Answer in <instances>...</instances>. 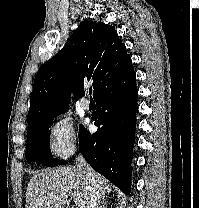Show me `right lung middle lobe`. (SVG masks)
Segmentation results:
<instances>
[{
	"mask_svg": "<svg viewBox=\"0 0 199 208\" xmlns=\"http://www.w3.org/2000/svg\"><path fill=\"white\" fill-rule=\"evenodd\" d=\"M53 122H48L27 131L26 159L30 163L36 161L43 165L56 166L62 164L63 160L52 158L50 152V126ZM83 126H80V133Z\"/></svg>",
	"mask_w": 199,
	"mask_h": 208,
	"instance_id": "right-lung-middle-lobe-1",
	"label": "right lung middle lobe"
}]
</instances>
